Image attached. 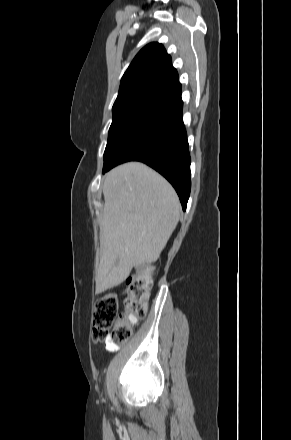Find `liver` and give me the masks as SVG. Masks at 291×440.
I'll return each mask as SVG.
<instances>
[{"mask_svg":"<svg viewBox=\"0 0 291 440\" xmlns=\"http://www.w3.org/2000/svg\"><path fill=\"white\" fill-rule=\"evenodd\" d=\"M103 195L97 293L120 285L134 266L155 262L180 218L173 187L140 162L109 171Z\"/></svg>","mask_w":291,"mask_h":440,"instance_id":"liver-1","label":"liver"}]
</instances>
